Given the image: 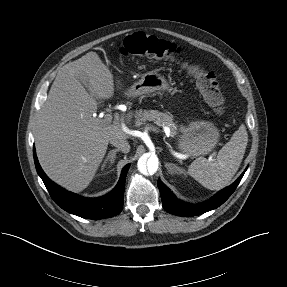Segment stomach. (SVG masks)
Returning a JSON list of instances; mask_svg holds the SVG:
<instances>
[{
    "instance_id": "obj_1",
    "label": "stomach",
    "mask_w": 287,
    "mask_h": 287,
    "mask_svg": "<svg viewBox=\"0 0 287 287\" xmlns=\"http://www.w3.org/2000/svg\"><path fill=\"white\" fill-rule=\"evenodd\" d=\"M170 85L164 76L157 72H146L141 79L135 82L127 91L126 95L135 98L143 94L155 91H169ZM217 127L209 121H192L185 128L181 129L178 137V148L188 156H199L212 151L219 141Z\"/></svg>"
}]
</instances>
